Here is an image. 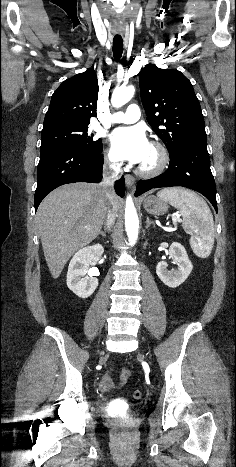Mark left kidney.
<instances>
[{"label":"left kidney","instance_id":"5707ae66","mask_svg":"<svg viewBox=\"0 0 236 467\" xmlns=\"http://www.w3.org/2000/svg\"><path fill=\"white\" fill-rule=\"evenodd\" d=\"M169 253L172 259L177 263L178 269L174 272L167 270V263L161 261L157 264L156 273L160 280L171 288L181 285L190 275L193 265L188 258L185 248L178 242L170 245Z\"/></svg>","mask_w":236,"mask_h":467}]
</instances>
